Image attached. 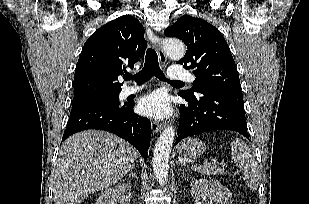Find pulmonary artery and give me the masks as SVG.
Returning <instances> with one entry per match:
<instances>
[{
	"mask_svg": "<svg viewBox=\"0 0 309 204\" xmlns=\"http://www.w3.org/2000/svg\"><path fill=\"white\" fill-rule=\"evenodd\" d=\"M168 77L171 80H184L189 82H194L195 77L192 73L185 69L180 68H170L168 71ZM144 88V85L141 86H127L122 90V94L127 96L133 93H136Z\"/></svg>",
	"mask_w": 309,
	"mask_h": 204,
	"instance_id": "e3ab8cb5",
	"label": "pulmonary artery"
}]
</instances>
